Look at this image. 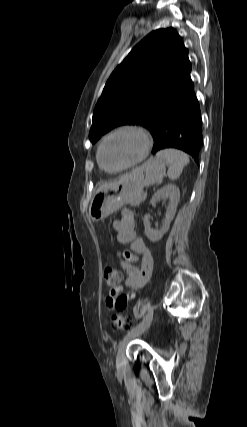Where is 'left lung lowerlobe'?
<instances>
[{"label":"left lung lower lobe","mask_w":247,"mask_h":427,"mask_svg":"<svg viewBox=\"0 0 247 427\" xmlns=\"http://www.w3.org/2000/svg\"><path fill=\"white\" fill-rule=\"evenodd\" d=\"M149 129L155 140L152 154L166 148H177L190 154L199 165L202 120L192 82L162 106Z\"/></svg>","instance_id":"0a47b994"}]
</instances>
